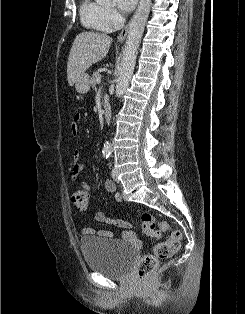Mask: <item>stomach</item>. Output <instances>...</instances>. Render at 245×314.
Listing matches in <instances>:
<instances>
[{"mask_svg":"<svg viewBox=\"0 0 245 314\" xmlns=\"http://www.w3.org/2000/svg\"><path fill=\"white\" fill-rule=\"evenodd\" d=\"M75 88L79 94H86L90 89L89 75H81L75 82Z\"/></svg>","mask_w":245,"mask_h":314,"instance_id":"stomach-1","label":"stomach"}]
</instances>
